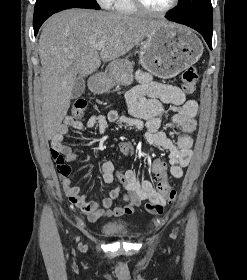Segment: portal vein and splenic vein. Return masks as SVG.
Returning a JSON list of instances; mask_svg holds the SVG:
<instances>
[{"label":"portal vein and splenic vein","mask_w":247,"mask_h":280,"mask_svg":"<svg viewBox=\"0 0 247 280\" xmlns=\"http://www.w3.org/2000/svg\"><path fill=\"white\" fill-rule=\"evenodd\" d=\"M95 47L98 51H100L104 47V45H103V43H99V44H96Z\"/></svg>","instance_id":"1"}]
</instances>
